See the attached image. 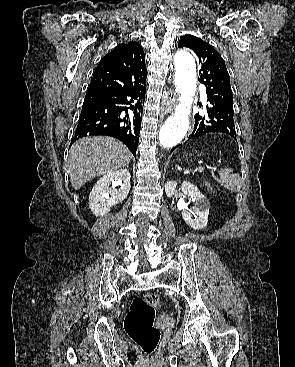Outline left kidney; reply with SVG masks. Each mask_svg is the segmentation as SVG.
I'll return each mask as SVG.
<instances>
[{"label":"left kidney","instance_id":"1","mask_svg":"<svg viewBox=\"0 0 295 367\" xmlns=\"http://www.w3.org/2000/svg\"><path fill=\"white\" fill-rule=\"evenodd\" d=\"M177 182L168 181L165 184V192L167 197L171 198L176 191ZM183 195L188 196L195 202L194 214L195 218L191 215L182 211V218L184 221L193 229L200 230L207 226L210 202L209 200L199 191V189L188 181H184L181 185Z\"/></svg>","mask_w":295,"mask_h":367}]
</instances>
